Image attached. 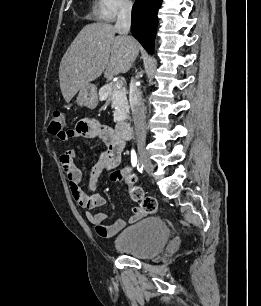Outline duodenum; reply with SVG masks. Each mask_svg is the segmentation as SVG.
<instances>
[{"instance_id":"410a0bca","label":"duodenum","mask_w":261,"mask_h":306,"mask_svg":"<svg viewBox=\"0 0 261 306\" xmlns=\"http://www.w3.org/2000/svg\"><path fill=\"white\" fill-rule=\"evenodd\" d=\"M116 130L118 135L125 139L128 140L132 137L133 129L131 124L128 121H120L117 123Z\"/></svg>"}]
</instances>
